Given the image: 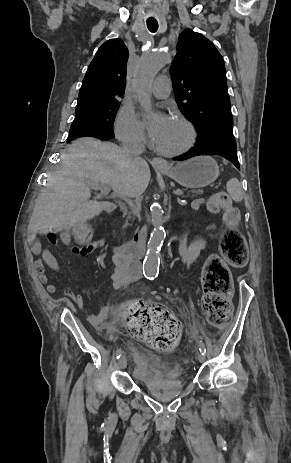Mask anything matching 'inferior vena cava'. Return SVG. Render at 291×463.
<instances>
[{
  "instance_id": "obj_1",
  "label": "inferior vena cava",
  "mask_w": 291,
  "mask_h": 463,
  "mask_svg": "<svg viewBox=\"0 0 291 463\" xmlns=\"http://www.w3.org/2000/svg\"><path fill=\"white\" fill-rule=\"evenodd\" d=\"M145 147L140 141H129L123 143V151L132 159H140V154L143 153Z\"/></svg>"
}]
</instances>
